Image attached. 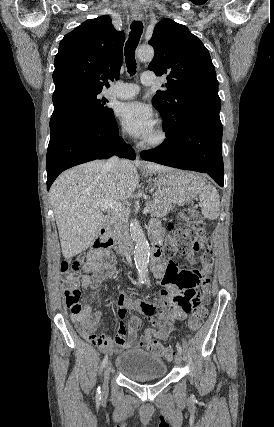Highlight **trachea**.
Returning <instances> with one entry per match:
<instances>
[{"instance_id": "trachea-1", "label": "trachea", "mask_w": 274, "mask_h": 427, "mask_svg": "<svg viewBox=\"0 0 274 427\" xmlns=\"http://www.w3.org/2000/svg\"><path fill=\"white\" fill-rule=\"evenodd\" d=\"M131 32L129 33V38L126 42L124 52H125V62L130 75H135L136 73V60H135V50L143 33V24L140 21L132 22L130 25Z\"/></svg>"}]
</instances>
